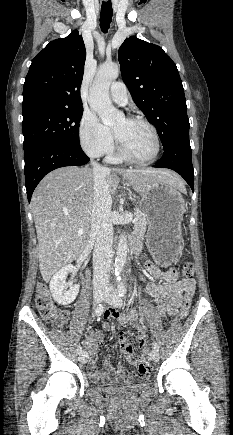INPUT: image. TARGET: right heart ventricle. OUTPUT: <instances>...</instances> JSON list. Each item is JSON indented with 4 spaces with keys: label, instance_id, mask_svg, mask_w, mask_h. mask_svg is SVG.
Masks as SVG:
<instances>
[{
    "label": "right heart ventricle",
    "instance_id": "1",
    "mask_svg": "<svg viewBox=\"0 0 233 435\" xmlns=\"http://www.w3.org/2000/svg\"><path fill=\"white\" fill-rule=\"evenodd\" d=\"M107 161L112 164H117L122 162L121 157L119 156L118 152L114 149V147L108 153Z\"/></svg>",
    "mask_w": 233,
    "mask_h": 435
}]
</instances>
